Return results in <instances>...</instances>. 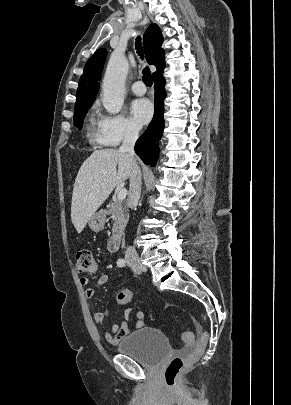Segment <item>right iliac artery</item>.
<instances>
[{
	"label": "right iliac artery",
	"mask_w": 291,
	"mask_h": 405,
	"mask_svg": "<svg viewBox=\"0 0 291 405\" xmlns=\"http://www.w3.org/2000/svg\"><path fill=\"white\" fill-rule=\"evenodd\" d=\"M117 265H118L119 267H124V266L126 265V261H125L124 259H119V260L117 261Z\"/></svg>",
	"instance_id": "right-iliac-artery-1"
}]
</instances>
